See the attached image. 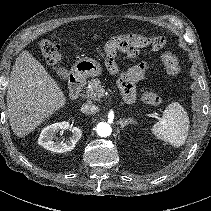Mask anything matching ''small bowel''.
<instances>
[{
	"mask_svg": "<svg viewBox=\"0 0 211 211\" xmlns=\"http://www.w3.org/2000/svg\"><path fill=\"white\" fill-rule=\"evenodd\" d=\"M133 32H126L125 34H132ZM112 43V40L106 44V47ZM114 75L118 76V85L125 102L132 104L136 100L135 82L142 79L145 75L146 69L143 66H137L125 73H120L116 66L109 69Z\"/></svg>",
	"mask_w": 211,
	"mask_h": 211,
	"instance_id": "small-bowel-1",
	"label": "small bowel"
}]
</instances>
